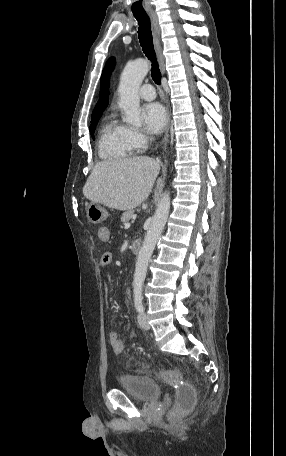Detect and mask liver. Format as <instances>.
<instances>
[{
  "mask_svg": "<svg viewBox=\"0 0 286 456\" xmlns=\"http://www.w3.org/2000/svg\"><path fill=\"white\" fill-rule=\"evenodd\" d=\"M159 171L158 161L147 156L98 162L83 194L93 203L131 210L148 198Z\"/></svg>",
  "mask_w": 286,
  "mask_h": 456,
  "instance_id": "1",
  "label": "liver"
}]
</instances>
